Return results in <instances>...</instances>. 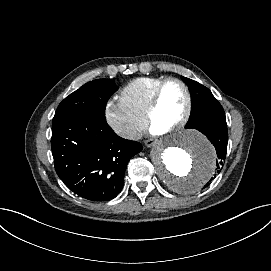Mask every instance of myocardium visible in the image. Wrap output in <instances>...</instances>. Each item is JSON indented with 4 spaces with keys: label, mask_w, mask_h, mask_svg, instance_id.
I'll list each match as a JSON object with an SVG mask.
<instances>
[{
    "label": "myocardium",
    "mask_w": 271,
    "mask_h": 271,
    "mask_svg": "<svg viewBox=\"0 0 271 271\" xmlns=\"http://www.w3.org/2000/svg\"><path fill=\"white\" fill-rule=\"evenodd\" d=\"M170 82H176L180 84L187 95V110L185 114L183 115L182 118H180L169 130H167V133H172L175 131H178L182 129L185 125L188 124V122L191 120L192 115H193V109H194V98H193V93L189 87V85L181 78L175 77V76H170L166 77L163 80H161L158 85L155 87L150 104L148 106L147 112H146V118L148 122L152 125V118L154 113L157 111L160 105V97L161 93L163 91V88Z\"/></svg>",
    "instance_id": "f54148a6"
}]
</instances>
